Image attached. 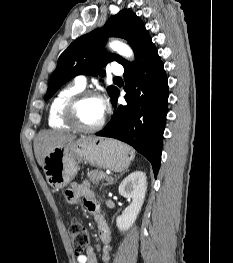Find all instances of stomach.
Here are the masks:
<instances>
[{
    "mask_svg": "<svg viewBox=\"0 0 233 263\" xmlns=\"http://www.w3.org/2000/svg\"><path fill=\"white\" fill-rule=\"evenodd\" d=\"M134 156V151L120 141L81 136L51 149L44 157L43 170L48 184L62 189L75 178L81 161L122 172L129 167Z\"/></svg>",
    "mask_w": 233,
    "mask_h": 263,
    "instance_id": "0dacf381",
    "label": "stomach"
}]
</instances>
